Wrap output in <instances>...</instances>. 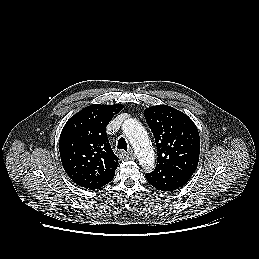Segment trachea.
I'll return each mask as SVG.
<instances>
[{"label":"trachea","mask_w":259,"mask_h":259,"mask_svg":"<svg viewBox=\"0 0 259 259\" xmlns=\"http://www.w3.org/2000/svg\"><path fill=\"white\" fill-rule=\"evenodd\" d=\"M117 148L118 149H123L125 151H127L128 147H127V142L126 140L121 137L119 140H118V145H117Z\"/></svg>","instance_id":"1"}]
</instances>
